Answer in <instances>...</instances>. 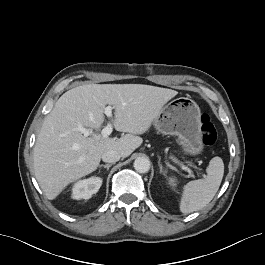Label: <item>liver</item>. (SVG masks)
<instances>
[{
  "label": "liver",
  "instance_id": "6515ba94",
  "mask_svg": "<svg viewBox=\"0 0 265 265\" xmlns=\"http://www.w3.org/2000/svg\"><path fill=\"white\" fill-rule=\"evenodd\" d=\"M177 94L143 84H87L65 92L45 117L34 146L35 177L46 197L55 199L68 184L95 171L107 150L130 156L143 142L139 135ZM106 105L115 110L114 128L127 134L102 138L81 133L79 126L100 130Z\"/></svg>",
  "mask_w": 265,
  "mask_h": 265
}]
</instances>
